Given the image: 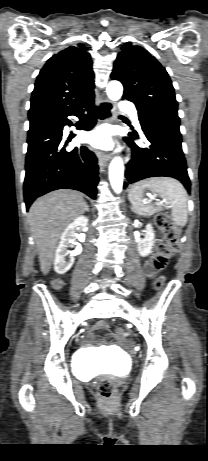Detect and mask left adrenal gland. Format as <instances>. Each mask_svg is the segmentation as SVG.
<instances>
[{
	"label": "left adrenal gland",
	"instance_id": "obj_1",
	"mask_svg": "<svg viewBox=\"0 0 208 461\" xmlns=\"http://www.w3.org/2000/svg\"><path fill=\"white\" fill-rule=\"evenodd\" d=\"M131 210H132L133 212H135V210H134V208H133V207H131Z\"/></svg>",
	"mask_w": 208,
	"mask_h": 461
}]
</instances>
